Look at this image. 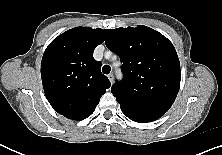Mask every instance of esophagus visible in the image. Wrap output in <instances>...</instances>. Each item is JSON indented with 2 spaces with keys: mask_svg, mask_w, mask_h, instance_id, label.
Returning a JSON list of instances; mask_svg holds the SVG:
<instances>
[{
  "mask_svg": "<svg viewBox=\"0 0 222 155\" xmlns=\"http://www.w3.org/2000/svg\"><path fill=\"white\" fill-rule=\"evenodd\" d=\"M108 79L110 80L111 84L114 82V76L112 73L108 75Z\"/></svg>",
  "mask_w": 222,
  "mask_h": 155,
  "instance_id": "esophagus-1",
  "label": "esophagus"
}]
</instances>
